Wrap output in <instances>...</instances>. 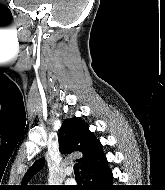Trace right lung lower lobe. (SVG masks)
Wrapping results in <instances>:
<instances>
[{"label": "right lung lower lobe", "instance_id": "obj_1", "mask_svg": "<svg viewBox=\"0 0 165 190\" xmlns=\"http://www.w3.org/2000/svg\"><path fill=\"white\" fill-rule=\"evenodd\" d=\"M108 162L103 156L93 167L84 170L81 174L83 177L82 190H118L119 188L112 185L113 175L108 169Z\"/></svg>", "mask_w": 165, "mask_h": 190}]
</instances>
